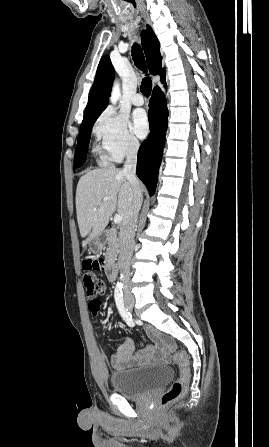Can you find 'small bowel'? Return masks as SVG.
<instances>
[{"mask_svg":"<svg viewBox=\"0 0 269 447\" xmlns=\"http://www.w3.org/2000/svg\"><path fill=\"white\" fill-rule=\"evenodd\" d=\"M146 333L153 340V344L146 345L141 351L134 352V343L130 339H125L110 362L114 369L124 370L140 365L146 361L167 363L169 361V351L173 348L166 347L163 339L169 338L168 332L161 333L159 330L147 326Z\"/></svg>","mask_w":269,"mask_h":447,"instance_id":"small-bowel-1","label":"small bowel"}]
</instances>
